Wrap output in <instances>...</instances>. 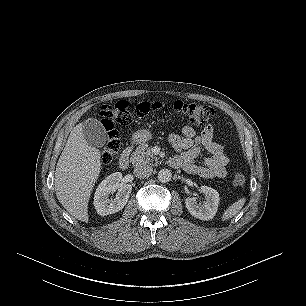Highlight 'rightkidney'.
I'll return each mask as SVG.
<instances>
[{
  "label": "right kidney",
  "instance_id": "right-kidney-1",
  "mask_svg": "<svg viewBox=\"0 0 306 306\" xmlns=\"http://www.w3.org/2000/svg\"><path fill=\"white\" fill-rule=\"evenodd\" d=\"M122 180L120 172L113 173L107 176L97 187L94 195V206L97 213L101 216L116 213L124 208L126 205L132 186L125 184L119 187ZM118 189V194L114 199L109 198L111 193Z\"/></svg>",
  "mask_w": 306,
  "mask_h": 306
}]
</instances>
